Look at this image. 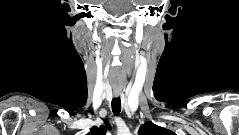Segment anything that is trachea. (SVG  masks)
I'll return each mask as SVG.
<instances>
[{
	"instance_id": "1",
	"label": "trachea",
	"mask_w": 239,
	"mask_h": 135,
	"mask_svg": "<svg viewBox=\"0 0 239 135\" xmlns=\"http://www.w3.org/2000/svg\"><path fill=\"white\" fill-rule=\"evenodd\" d=\"M112 111L114 115H118L121 111V100L120 97H114L112 99Z\"/></svg>"
}]
</instances>
